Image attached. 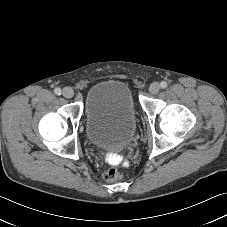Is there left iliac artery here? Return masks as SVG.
Segmentation results:
<instances>
[{
    "label": "left iliac artery",
    "instance_id": "1",
    "mask_svg": "<svg viewBox=\"0 0 227 227\" xmlns=\"http://www.w3.org/2000/svg\"><path fill=\"white\" fill-rule=\"evenodd\" d=\"M168 86V84H167V82L166 81H162L161 83H160V87L161 88H166Z\"/></svg>",
    "mask_w": 227,
    "mask_h": 227
}]
</instances>
